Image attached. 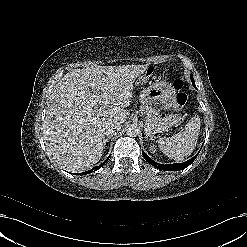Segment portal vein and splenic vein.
Instances as JSON below:
<instances>
[{"mask_svg": "<svg viewBox=\"0 0 247 247\" xmlns=\"http://www.w3.org/2000/svg\"><path fill=\"white\" fill-rule=\"evenodd\" d=\"M89 119H92V116H89Z\"/></svg>", "mask_w": 247, "mask_h": 247, "instance_id": "portal-vein-and-splenic-vein-1", "label": "portal vein and splenic vein"}]
</instances>
